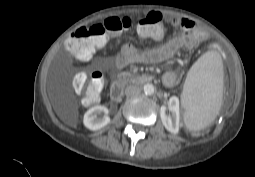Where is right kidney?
Masks as SVG:
<instances>
[{"label": "right kidney", "instance_id": "ca27d5eb", "mask_svg": "<svg viewBox=\"0 0 255 177\" xmlns=\"http://www.w3.org/2000/svg\"><path fill=\"white\" fill-rule=\"evenodd\" d=\"M108 113L109 111L105 106L97 105L90 108L84 114V126L92 131L103 128L110 122V117L108 116ZM101 114L105 115L101 117Z\"/></svg>", "mask_w": 255, "mask_h": 177}]
</instances>
